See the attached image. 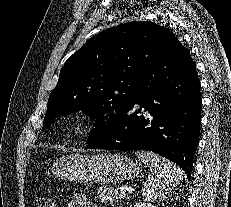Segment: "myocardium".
<instances>
[{
	"label": "myocardium",
	"instance_id": "myocardium-1",
	"mask_svg": "<svg viewBox=\"0 0 231 207\" xmlns=\"http://www.w3.org/2000/svg\"><path fill=\"white\" fill-rule=\"evenodd\" d=\"M87 128V118L84 115H75L69 123V129L73 133H82Z\"/></svg>",
	"mask_w": 231,
	"mask_h": 207
}]
</instances>
